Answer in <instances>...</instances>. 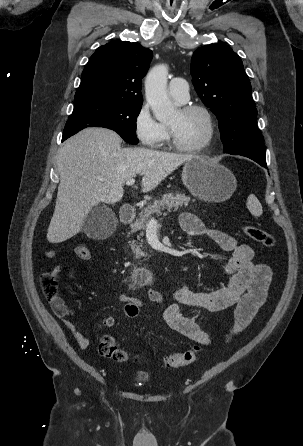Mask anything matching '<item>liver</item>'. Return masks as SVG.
<instances>
[{
	"label": "liver",
	"instance_id": "1",
	"mask_svg": "<svg viewBox=\"0 0 303 446\" xmlns=\"http://www.w3.org/2000/svg\"><path fill=\"white\" fill-rule=\"evenodd\" d=\"M121 138L104 128H87L60 148L56 165L60 176L56 206L48 227L50 243L64 242L82 229L88 213L99 203L114 204L124 183L143 175L142 192L156 188L184 162L197 158L147 148H122Z\"/></svg>",
	"mask_w": 303,
	"mask_h": 446
}]
</instances>
